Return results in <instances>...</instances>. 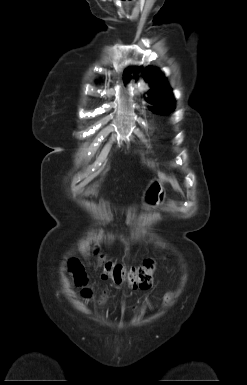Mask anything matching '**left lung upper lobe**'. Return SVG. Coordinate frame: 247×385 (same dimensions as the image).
<instances>
[{"label": "left lung upper lobe", "mask_w": 247, "mask_h": 385, "mask_svg": "<svg viewBox=\"0 0 247 385\" xmlns=\"http://www.w3.org/2000/svg\"><path fill=\"white\" fill-rule=\"evenodd\" d=\"M131 71H135V74L139 71L138 69H128L125 71V79L129 78ZM145 80L150 84V91L148 92L147 101L154 105L151 110L157 114L165 115L169 114L174 110L175 100L171 89L166 83L164 76L161 72L155 68L148 67L143 72ZM135 78L137 76L135 75Z\"/></svg>", "instance_id": "left-lung-upper-lobe-1"}]
</instances>
